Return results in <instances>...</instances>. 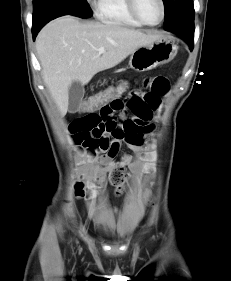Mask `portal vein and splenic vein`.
<instances>
[{
    "label": "portal vein and splenic vein",
    "instance_id": "obj_1",
    "mask_svg": "<svg viewBox=\"0 0 231 281\" xmlns=\"http://www.w3.org/2000/svg\"><path fill=\"white\" fill-rule=\"evenodd\" d=\"M98 52H99L100 54L104 53V52H105L104 47H100V48L98 49Z\"/></svg>",
    "mask_w": 231,
    "mask_h": 281
}]
</instances>
